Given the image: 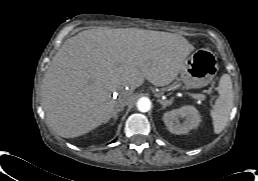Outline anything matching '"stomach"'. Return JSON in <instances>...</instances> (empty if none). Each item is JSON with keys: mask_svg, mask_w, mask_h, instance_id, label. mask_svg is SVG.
I'll return each mask as SVG.
<instances>
[{"mask_svg": "<svg viewBox=\"0 0 258 181\" xmlns=\"http://www.w3.org/2000/svg\"><path fill=\"white\" fill-rule=\"evenodd\" d=\"M218 71L217 58L209 49H197L184 62L180 71V80L186 88L207 86Z\"/></svg>", "mask_w": 258, "mask_h": 181, "instance_id": "obj_1", "label": "stomach"}]
</instances>
